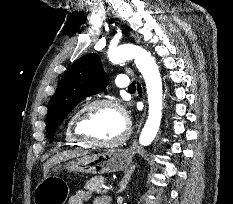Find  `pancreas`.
Returning a JSON list of instances; mask_svg holds the SVG:
<instances>
[{"label":"pancreas","instance_id":"cf45deb5","mask_svg":"<svg viewBox=\"0 0 233 204\" xmlns=\"http://www.w3.org/2000/svg\"><path fill=\"white\" fill-rule=\"evenodd\" d=\"M106 178L103 176L92 177L85 183L84 188L91 193H102V184L105 183Z\"/></svg>","mask_w":233,"mask_h":204}]
</instances>
